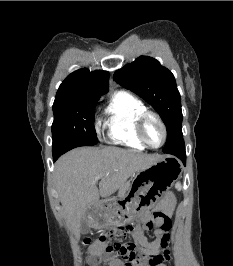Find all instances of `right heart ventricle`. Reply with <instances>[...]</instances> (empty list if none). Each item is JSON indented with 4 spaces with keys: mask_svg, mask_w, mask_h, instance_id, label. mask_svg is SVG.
Returning a JSON list of instances; mask_svg holds the SVG:
<instances>
[{
    "mask_svg": "<svg viewBox=\"0 0 233 266\" xmlns=\"http://www.w3.org/2000/svg\"><path fill=\"white\" fill-rule=\"evenodd\" d=\"M147 110L144 103L133 94L120 90L109 100L105 110L104 125L109 140L137 150L145 149L136 133L139 116Z\"/></svg>",
    "mask_w": 233,
    "mask_h": 266,
    "instance_id": "e07e8e85",
    "label": "right heart ventricle"
}]
</instances>
